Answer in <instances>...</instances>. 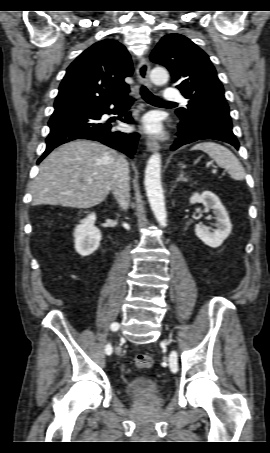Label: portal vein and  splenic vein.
Masks as SVG:
<instances>
[{"label":"portal vein and splenic vein","mask_w":270,"mask_h":453,"mask_svg":"<svg viewBox=\"0 0 270 453\" xmlns=\"http://www.w3.org/2000/svg\"><path fill=\"white\" fill-rule=\"evenodd\" d=\"M212 172H213V173H216V169H213ZM89 182H92V180H89Z\"/></svg>","instance_id":"18ae733b"}]
</instances>
